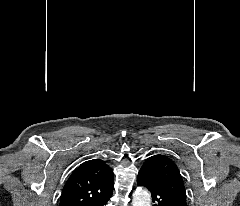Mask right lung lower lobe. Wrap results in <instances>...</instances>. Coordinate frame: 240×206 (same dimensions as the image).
Segmentation results:
<instances>
[{
	"instance_id": "obj_1",
	"label": "right lung lower lobe",
	"mask_w": 240,
	"mask_h": 206,
	"mask_svg": "<svg viewBox=\"0 0 240 206\" xmlns=\"http://www.w3.org/2000/svg\"><path fill=\"white\" fill-rule=\"evenodd\" d=\"M112 193L101 198L100 200L96 201L95 203L91 204L90 206H105L109 198L111 197Z\"/></svg>"
}]
</instances>
